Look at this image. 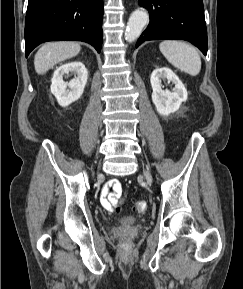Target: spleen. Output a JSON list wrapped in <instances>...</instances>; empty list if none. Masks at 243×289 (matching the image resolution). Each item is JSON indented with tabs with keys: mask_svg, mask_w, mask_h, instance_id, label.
Masks as SVG:
<instances>
[{
	"mask_svg": "<svg viewBox=\"0 0 243 289\" xmlns=\"http://www.w3.org/2000/svg\"><path fill=\"white\" fill-rule=\"evenodd\" d=\"M160 51L174 67L192 76L201 70V58L197 50L182 41L165 40L159 45Z\"/></svg>",
	"mask_w": 243,
	"mask_h": 289,
	"instance_id": "obj_1",
	"label": "spleen"
}]
</instances>
